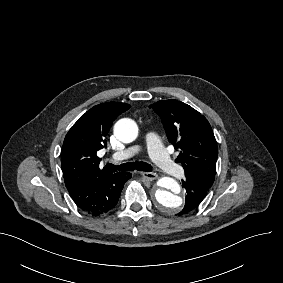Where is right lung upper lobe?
<instances>
[{"mask_svg": "<svg viewBox=\"0 0 283 283\" xmlns=\"http://www.w3.org/2000/svg\"><path fill=\"white\" fill-rule=\"evenodd\" d=\"M130 108L129 104L107 102L96 105L83 114L67 133L61 152V167L65 185L85 177L114 173L99 167L97 151L106 145L105 137L112 122Z\"/></svg>", "mask_w": 283, "mask_h": 283, "instance_id": "right-lung-upper-lobe-1", "label": "right lung upper lobe"}]
</instances>
